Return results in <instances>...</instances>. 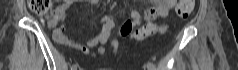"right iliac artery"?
<instances>
[{
  "label": "right iliac artery",
  "mask_w": 238,
  "mask_h": 70,
  "mask_svg": "<svg viewBox=\"0 0 238 70\" xmlns=\"http://www.w3.org/2000/svg\"><path fill=\"white\" fill-rule=\"evenodd\" d=\"M76 69H77V65L73 64V65L71 66V70H76Z\"/></svg>",
  "instance_id": "obj_1"
}]
</instances>
